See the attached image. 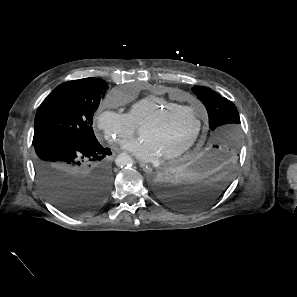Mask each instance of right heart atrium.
Here are the masks:
<instances>
[{"label":"right heart atrium","mask_w":297,"mask_h":297,"mask_svg":"<svg viewBox=\"0 0 297 297\" xmlns=\"http://www.w3.org/2000/svg\"><path fill=\"white\" fill-rule=\"evenodd\" d=\"M118 101L110 94L98 109L95 122L104 138L114 144H123L135 132L128 114L117 109Z\"/></svg>","instance_id":"right-heart-atrium-1"}]
</instances>
